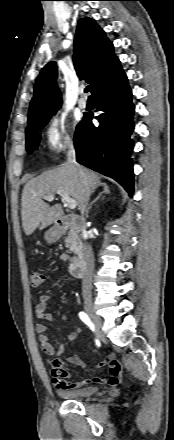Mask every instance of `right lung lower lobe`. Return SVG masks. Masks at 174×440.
<instances>
[{"label": "right lung lower lobe", "instance_id": "98d812e1", "mask_svg": "<svg viewBox=\"0 0 174 440\" xmlns=\"http://www.w3.org/2000/svg\"><path fill=\"white\" fill-rule=\"evenodd\" d=\"M99 126L92 124V114H85L74 137L78 163L119 182L132 197L133 164L131 151L134 131L132 91L120 62L93 92Z\"/></svg>", "mask_w": 174, "mask_h": 440}]
</instances>
